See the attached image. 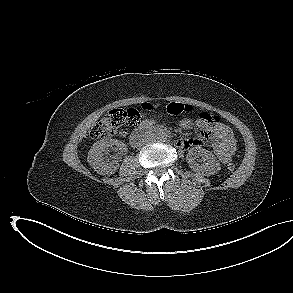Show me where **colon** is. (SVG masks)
Returning a JSON list of instances; mask_svg holds the SVG:
<instances>
[{"label": "colon", "mask_w": 293, "mask_h": 293, "mask_svg": "<svg viewBox=\"0 0 293 293\" xmlns=\"http://www.w3.org/2000/svg\"><path fill=\"white\" fill-rule=\"evenodd\" d=\"M190 110L191 108L188 105L181 103H170L167 106V112L172 116H179ZM201 116L208 121L219 122L217 116L209 113H201ZM140 120L141 114L136 109H113L91 126L89 136L93 139H104L112 136L124 137L131 128L140 123ZM226 169L232 172L235 169V165L228 163Z\"/></svg>", "instance_id": "obj_1"}]
</instances>
